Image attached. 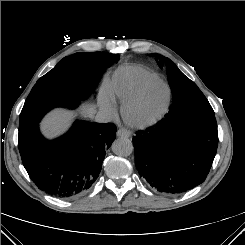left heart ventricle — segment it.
Returning a JSON list of instances; mask_svg holds the SVG:
<instances>
[{
	"mask_svg": "<svg viewBox=\"0 0 245 245\" xmlns=\"http://www.w3.org/2000/svg\"><path fill=\"white\" fill-rule=\"evenodd\" d=\"M166 97V90L160 84L151 85L140 102L132 111L135 118L145 119L155 114L163 105Z\"/></svg>",
	"mask_w": 245,
	"mask_h": 245,
	"instance_id": "obj_1",
	"label": "left heart ventricle"
}]
</instances>
